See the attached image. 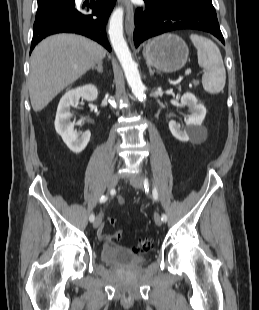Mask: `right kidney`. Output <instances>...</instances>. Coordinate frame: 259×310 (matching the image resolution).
I'll return each instance as SVG.
<instances>
[{"mask_svg":"<svg viewBox=\"0 0 259 310\" xmlns=\"http://www.w3.org/2000/svg\"><path fill=\"white\" fill-rule=\"evenodd\" d=\"M81 97L87 101H94L98 97V90L94 85H85L67 91L59 102L54 123L56 132L74 153L82 152L91 136L90 131H85L81 135H77L74 130V123L70 121L72 117L70 109L78 104Z\"/></svg>","mask_w":259,"mask_h":310,"instance_id":"ca27d5eb","label":"right kidney"}]
</instances>
